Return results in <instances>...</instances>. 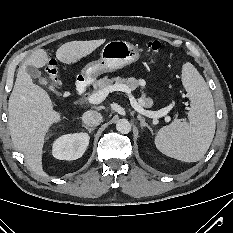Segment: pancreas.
Segmentation results:
<instances>
[{
	"instance_id": "cf45deb5",
	"label": "pancreas",
	"mask_w": 233,
	"mask_h": 233,
	"mask_svg": "<svg viewBox=\"0 0 233 233\" xmlns=\"http://www.w3.org/2000/svg\"><path fill=\"white\" fill-rule=\"evenodd\" d=\"M125 85L128 87L130 91L135 90L137 87L141 86L143 84V80L141 79H135L133 77L130 78H121V77H114V78H108L107 76L104 78H101L93 83L95 90H103L108 88L111 85ZM140 104L141 106L145 108H150L153 105V100L150 97H146V95L143 93L140 98Z\"/></svg>"
}]
</instances>
